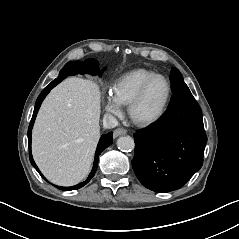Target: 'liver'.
<instances>
[{
  "instance_id": "1",
  "label": "liver",
  "mask_w": 239,
  "mask_h": 239,
  "mask_svg": "<svg viewBox=\"0 0 239 239\" xmlns=\"http://www.w3.org/2000/svg\"><path fill=\"white\" fill-rule=\"evenodd\" d=\"M97 84L69 77L43 101L32 131L33 158L52 183L72 186L91 169L100 138Z\"/></svg>"
}]
</instances>
